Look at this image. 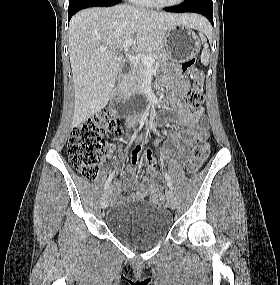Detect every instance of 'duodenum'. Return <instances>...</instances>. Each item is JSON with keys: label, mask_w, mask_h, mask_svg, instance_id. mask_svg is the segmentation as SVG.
I'll list each match as a JSON object with an SVG mask.
<instances>
[{"label": "duodenum", "mask_w": 280, "mask_h": 285, "mask_svg": "<svg viewBox=\"0 0 280 285\" xmlns=\"http://www.w3.org/2000/svg\"><path fill=\"white\" fill-rule=\"evenodd\" d=\"M125 91L122 89L120 91V93L118 94V97L116 99H114L113 101V107L117 110V113L119 115H123L122 111H121V106H122V101H123V97H124Z\"/></svg>", "instance_id": "1"}]
</instances>
